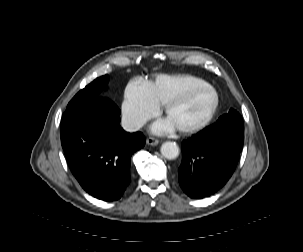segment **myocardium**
<instances>
[{
	"instance_id": "myocardium-1",
	"label": "myocardium",
	"mask_w": 303,
	"mask_h": 252,
	"mask_svg": "<svg viewBox=\"0 0 303 252\" xmlns=\"http://www.w3.org/2000/svg\"><path fill=\"white\" fill-rule=\"evenodd\" d=\"M200 89H208L211 92L212 102H211L210 108L207 111L205 117L200 122L193 124V125H189V126L176 127V129L181 133L189 134V133L199 131V130L205 128L211 122V120L213 119V117L216 113V110H217L218 104H219V98H218V94H217L215 88L212 87L208 83H200L199 85H197L193 90H191L189 93H187L182 98H180L178 100L170 101V102L166 103L163 107V114L167 117V115L170 113V111L175 106L185 103L194 92H196Z\"/></svg>"
}]
</instances>
